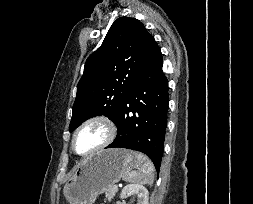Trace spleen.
Here are the masks:
<instances>
[{
	"label": "spleen",
	"instance_id": "3e777b00",
	"mask_svg": "<svg viewBox=\"0 0 253 204\" xmlns=\"http://www.w3.org/2000/svg\"><path fill=\"white\" fill-rule=\"evenodd\" d=\"M137 170L131 171L123 176V180L131 183L151 185L154 180V165L148 157L137 153Z\"/></svg>",
	"mask_w": 253,
	"mask_h": 204
}]
</instances>
